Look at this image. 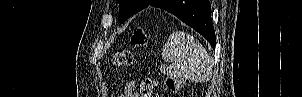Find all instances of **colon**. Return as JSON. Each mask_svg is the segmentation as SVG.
<instances>
[{
    "instance_id": "5ec220e1",
    "label": "colon",
    "mask_w": 302,
    "mask_h": 97,
    "mask_svg": "<svg viewBox=\"0 0 302 97\" xmlns=\"http://www.w3.org/2000/svg\"><path fill=\"white\" fill-rule=\"evenodd\" d=\"M132 45L136 49H144L147 46L148 37L143 27H136L133 30L131 39ZM134 60V55L130 50H121L114 54L113 64L116 66H128L131 65ZM158 86V82L151 78H146L141 85V97H157L153 91ZM165 86L170 91H176L181 86V81L168 78L165 82Z\"/></svg>"
}]
</instances>
